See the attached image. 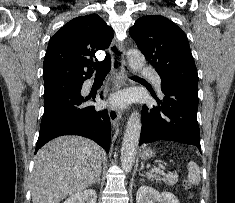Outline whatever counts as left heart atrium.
<instances>
[{
    "label": "left heart atrium",
    "mask_w": 235,
    "mask_h": 203,
    "mask_svg": "<svg viewBox=\"0 0 235 203\" xmlns=\"http://www.w3.org/2000/svg\"><path fill=\"white\" fill-rule=\"evenodd\" d=\"M129 100H130V97L128 93L120 92L112 97L111 103L116 106H124L129 102Z\"/></svg>",
    "instance_id": "1"
}]
</instances>
